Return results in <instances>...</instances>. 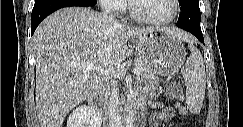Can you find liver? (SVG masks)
Masks as SVG:
<instances>
[{
    "label": "liver",
    "instance_id": "6515ba94",
    "mask_svg": "<svg viewBox=\"0 0 243 127\" xmlns=\"http://www.w3.org/2000/svg\"><path fill=\"white\" fill-rule=\"evenodd\" d=\"M162 30L180 40L192 36L176 28H130L104 13L84 7L62 8L46 19L33 35L36 59V110L41 127H62L70 110L93 91L101 72L84 73L91 63L113 70L128 56V39Z\"/></svg>",
    "mask_w": 243,
    "mask_h": 127
}]
</instances>
